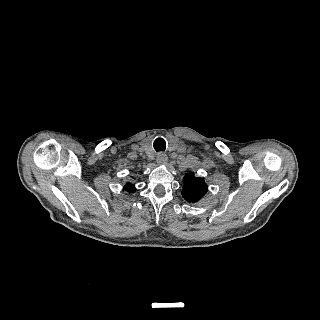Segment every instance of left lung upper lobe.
Masks as SVG:
<instances>
[{"mask_svg":"<svg viewBox=\"0 0 320 320\" xmlns=\"http://www.w3.org/2000/svg\"><path fill=\"white\" fill-rule=\"evenodd\" d=\"M183 182L182 194L188 202H198L208 191V186L204 179L195 177L193 172L186 174Z\"/></svg>","mask_w":320,"mask_h":320,"instance_id":"obj_1","label":"left lung upper lobe"}]
</instances>
